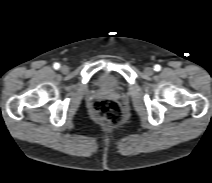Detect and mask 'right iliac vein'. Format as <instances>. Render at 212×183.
<instances>
[{"instance_id":"1","label":"right iliac vein","mask_w":212,"mask_h":183,"mask_svg":"<svg viewBox=\"0 0 212 183\" xmlns=\"http://www.w3.org/2000/svg\"><path fill=\"white\" fill-rule=\"evenodd\" d=\"M60 70H61L62 73H68L69 67L67 65H62Z\"/></svg>"}]
</instances>
